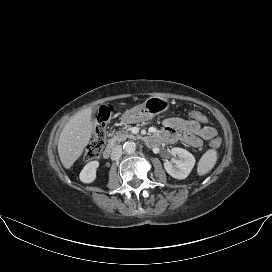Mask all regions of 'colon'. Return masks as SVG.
<instances>
[{"instance_id":"obj_1","label":"colon","mask_w":272,"mask_h":272,"mask_svg":"<svg viewBox=\"0 0 272 272\" xmlns=\"http://www.w3.org/2000/svg\"><path fill=\"white\" fill-rule=\"evenodd\" d=\"M112 108L110 106H101L95 114V129L93 138L87 145L84 152V160L91 161L98 158L106 143V123L111 115ZM187 117L198 122H207L208 118L205 114L199 111H190ZM221 144L220 138H214L210 145L213 148H218Z\"/></svg>"}]
</instances>
